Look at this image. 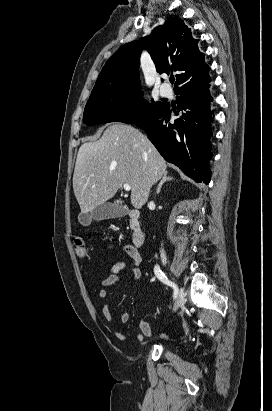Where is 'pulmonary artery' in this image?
<instances>
[{
  "label": "pulmonary artery",
  "mask_w": 272,
  "mask_h": 411,
  "mask_svg": "<svg viewBox=\"0 0 272 411\" xmlns=\"http://www.w3.org/2000/svg\"><path fill=\"white\" fill-rule=\"evenodd\" d=\"M160 92L162 96L168 97L172 94V89L169 85L163 84L160 87Z\"/></svg>",
  "instance_id": "e3ab8cb5"
}]
</instances>
